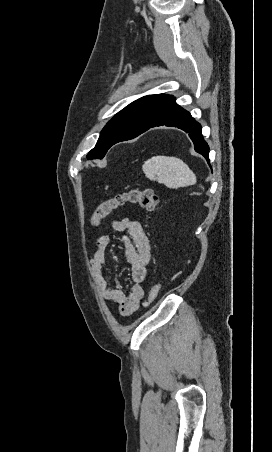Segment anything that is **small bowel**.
I'll return each instance as SVG.
<instances>
[{"label": "small bowel", "mask_w": 272, "mask_h": 452, "mask_svg": "<svg viewBox=\"0 0 272 452\" xmlns=\"http://www.w3.org/2000/svg\"><path fill=\"white\" fill-rule=\"evenodd\" d=\"M113 228L121 233L125 247V259L131 265L133 285L127 295L121 287H112L104 275L106 252L110 238L102 235L96 242V248L90 257L91 273L96 281L99 295L108 303L117 306L122 316L133 314L144 298V282L150 260V244L141 224L129 217L114 221Z\"/></svg>", "instance_id": "1"}]
</instances>
